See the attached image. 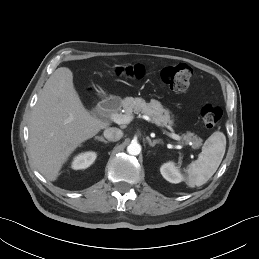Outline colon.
<instances>
[{"mask_svg":"<svg viewBox=\"0 0 259 259\" xmlns=\"http://www.w3.org/2000/svg\"><path fill=\"white\" fill-rule=\"evenodd\" d=\"M117 74L132 79H142L146 75V68L142 65H123L117 69ZM192 70L189 66L178 64L160 70V80L173 91H184L190 84ZM202 122L207 128L215 127L222 116V110L217 105H204L200 112Z\"/></svg>","mask_w":259,"mask_h":259,"instance_id":"1","label":"colon"}]
</instances>
